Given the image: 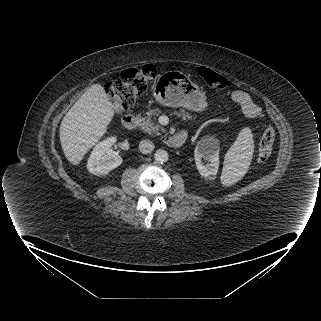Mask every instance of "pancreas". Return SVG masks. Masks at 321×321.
<instances>
[{
	"instance_id": "pancreas-1",
	"label": "pancreas",
	"mask_w": 321,
	"mask_h": 321,
	"mask_svg": "<svg viewBox=\"0 0 321 321\" xmlns=\"http://www.w3.org/2000/svg\"><path fill=\"white\" fill-rule=\"evenodd\" d=\"M158 113H160L159 110H150L146 114L147 116L140 118V128L150 134V135H159L160 132H164V128L161 127L159 124H155L151 117L152 116H158ZM178 117H181L183 120H195L194 117H192L189 113H186L184 110H181L180 112L176 113Z\"/></svg>"
}]
</instances>
